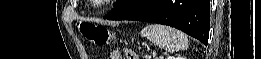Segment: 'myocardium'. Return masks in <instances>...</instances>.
Returning a JSON list of instances; mask_svg holds the SVG:
<instances>
[{"instance_id":"f54148a6","label":"myocardium","mask_w":261,"mask_h":59,"mask_svg":"<svg viewBox=\"0 0 261 59\" xmlns=\"http://www.w3.org/2000/svg\"><path fill=\"white\" fill-rule=\"evenodd\" d=\"M95 2L98 4V6H101L104 3L110 2V0H95Z\"/></svg>"}]
</instances>
